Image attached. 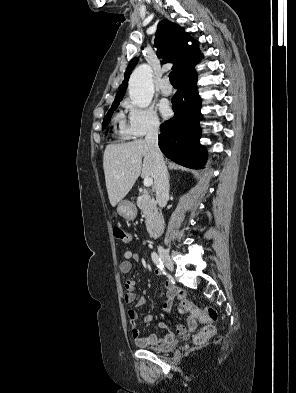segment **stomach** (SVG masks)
Masks as SVG:
<instances>
[{
	"mask_svg": "<svg viewBox=\"0 0 296 393\" xmlns=\"http://www.w3.org/2000/svg\"><path fill=\"white\" fill-rule=\"evenodd\" d=\"M118 214L125 220H134L137 215V210L134 204L128 200L121 201L117 207Z\"/></svg>",
	"mask_w": 296,
	"mask_h": 393,
	"instance_id": "obj_1",
	"label": "stomach"
}]
</instances>
